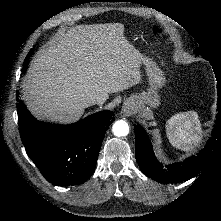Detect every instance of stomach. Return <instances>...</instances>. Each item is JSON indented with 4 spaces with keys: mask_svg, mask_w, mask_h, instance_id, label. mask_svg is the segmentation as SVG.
Segmentation results:
<instances>
[{
    "mask_svg": "<svg viewBox=\"0 0 221 221\" xmlns=\"http://www.w3.org/2000/svg\"><path fill=\"white\" fill-rule=\"evenodd\" d=\"M141 62L146 73L150 89L148 92H143L141 94L132 96L130 100H133L137 109L143 115H145L146 106L149 105L155 108L159 105V96L156 93V89L162 88L166 83V79L164 77L163 71L152 59L144 55V58Z\"/></svg>",
    "mask_w": 221,
    "mask_h": 221,
    "instance_id": "1",
    "label": "stomach"
}]
</instances>
